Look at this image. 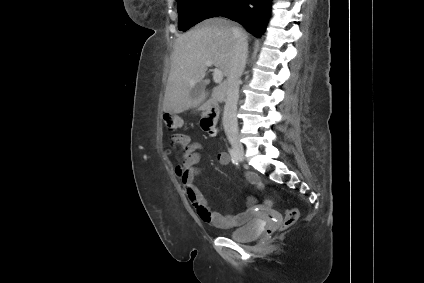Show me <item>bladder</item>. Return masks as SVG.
I'll list each match as a JSON object with an SVG mask.
<instances>
[{
	"label": "bladder",
	"instance_id": "obj_1",
	"mask_svg": "<svg viewBox=\"0 0 424 283\" xmlns=\"http://www.w3.org/2000/svg\"><path fill=\"white\" fill-rule=\"evenodd\" d=\"M262 231L259 219H252L240 228L232 231L229 237L236 242H249L256 239Z\"/></svg>",
	"mask_w": 424,
	"mask_h": 283
}]
</instances>
